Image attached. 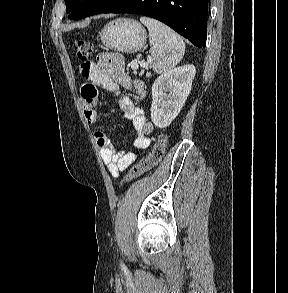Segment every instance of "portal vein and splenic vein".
<instances>
[{
  "label": "portal vein and splenic vein",
  "instance_id": "1",
  "mask_svg": "<svg viewBox=\"0 0 288 293\" xmlns=\"http://www.w3.org/2000/svg\"><path fill=\"white\" fill-rule=\"evenodd\" d=\"M150 62H151V57L150 58H148V63H142L141 65L143 66V67H148L149 66V64H150ZM138 64L137 63H135V64H133L132 66H131V68L133 69V70H136V69H138Z\"/></svg>",
  "mask_w": 288,
  "mask_h": 293
}]
</instances>
